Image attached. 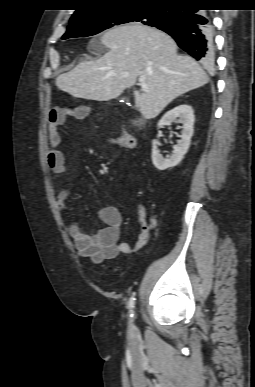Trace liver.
Instances as JSON below:
<instances>
[{
    "label": "liver",
    "instance_id": "6515ba94",
    "mask_svg": "<svg viewBox=\"0 0 255 387\" xmlns=\"http://www.w3.org/2000/svg\"><path fill=\"white\" fill-rule=\"evenodd\" d=\"M101 43L109 51L59 75L60 90L76 98L108 101L143 77L148 91L134 90L135 106L144 118L153 119L177 97L208 83L199 64L179 55L175 41L158 29L127 24L104 33Z\"/></svg>",
    "mask_w": 255,
    "mask_h": 387
}]
</instances>
